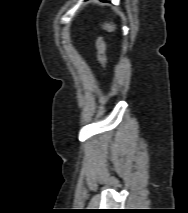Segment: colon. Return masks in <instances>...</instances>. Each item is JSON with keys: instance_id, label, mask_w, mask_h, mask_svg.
Instances as JSON below:
<instances>
[{"instance_id": "obj_1", "label": "colon", "mask_w": 188, "mask_h": 213, "mask_svg": "<svg viewBox=\"0 0 188 213\" xmlns=\"http://www.w3.org/2000/svg\"><path fill=\"white\" fill-rule=\"evenodd\" d=\"M96 45H97L99 60L104 63L106 59V43L102 38H98Z\"/></svg>"}]
</instances>
